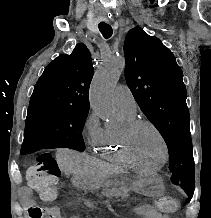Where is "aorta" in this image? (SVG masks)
Returning a JSON list of instances; mask_svg holds the SVG:
<instances>
[{
    "mask_svg": "<svg viewBox=\"0 0 211 218\" xmlns=\"http://www.w3.org/2000/svg\"><path fill=\"white\" fill-rule=\"evenodd\" d=\"M124 68L125 60L123 57L108 56L104 58L94 74L90 87L91 108L111 128L118 124L112 103V94Z\"/></svg>",
    "mask_w": 211,
    "mask_h": 218,
    "instance_id": "aorta-1",
    "label": "aorta"
}]
</instances>
